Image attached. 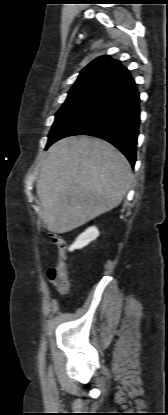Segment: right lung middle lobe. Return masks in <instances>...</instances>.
<instances>
[{"label": "right lung middle lobe", "mask_w": 168, "mask_h": 415, "mask_svg": "<svg viewBox=\"0 0 168 415\" xmlns=\"http://www.w3.org/2000/svg\"><path fill=\"white\" fill-rule=\"evenodd\" d=\"M100 93L97 92H78L68 94V97L62 107L56 114L53 127L49 133V139L52 138L59 129L81 108L96 98Z\"/></svg>", "instance_id": "obj_1"}]
</instances>
